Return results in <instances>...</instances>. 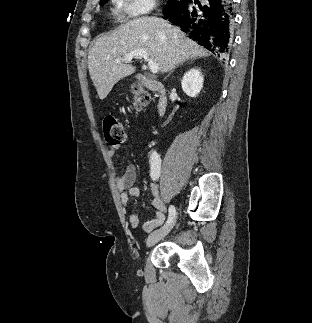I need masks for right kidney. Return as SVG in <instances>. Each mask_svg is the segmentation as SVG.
<instances>
[{"instance_id":"1","label":"right kidney","mask_w":312,"mask_h":323,"mask_svg":"<svg viewBox=\"0 0 312 323\" xmlns=\"http://www.w3.org/2000/svg\"><path fill=\"white\" fill-rule=\"evenodd\" d=\"M181 84L183 92H185L187 96H190V98H196L203 88V76L201 74V70H199V68H192V70L186 72Z\"/></svg>"}]
</instances>
